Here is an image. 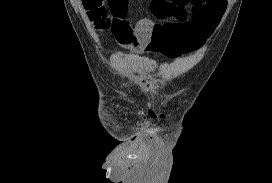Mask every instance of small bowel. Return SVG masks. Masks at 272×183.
<instances>
[{
	"instance_id": "obj_1",
	"label": "small bowel",
	"mask_w": 272,
	"mask_h": 183,
	"mask_svg": "<svg viewBox=\"0 0 272 183\" xmlns=\"http://www.w3.org/2000/svg\"><path fill=\"white\" fill-rule=\"evenodd\" d=\"M226 7L227 0H153L152 12L161 23L141 18L131 25L125 15L112 32L130 51L180 56L195 51L213 34Z\"/></svg>"
}]
</instances>
